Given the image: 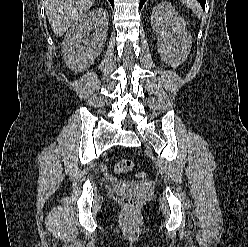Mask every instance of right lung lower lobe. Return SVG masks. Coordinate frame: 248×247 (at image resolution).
I'll return each instance as SVG.
<instances>
[{
	"label": "right lung lower lobe",
	"mask_w": 248,
	"mask_h": 247,
	"mask_svg": "<svg viewBox=\"0 0 248 247\" xmlns=\"http://www.w3.org/2000/svg\"><path fill=\"white\" fill-rule=\"evenodd\" d=\"M109 1L111 3L112 7L114 8V0H109Z\"/></svg>",
	"instance_id": "obj_1"
}]
</instances>
